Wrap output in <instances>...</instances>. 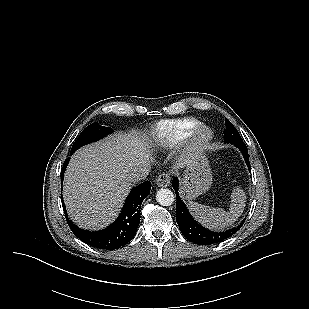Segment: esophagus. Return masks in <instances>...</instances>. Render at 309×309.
<instances>
[{
	"label": "esophagus",
	"mask_w": 309,
	"mask_h": 309,
	"mask_svg": "<svg viewBox=\"0 0 309 309\" xmlns=\"http://www.w3.org/2000/svg\"><path fill=\"white\" fill-rule=\"evenodd\" d=\"M170 181H171L170 174L163 173L156 178L155 183L158 187H166L169 186Z\"/></svg>",
	"instance_id": "obj_1"
}]
</instances>
